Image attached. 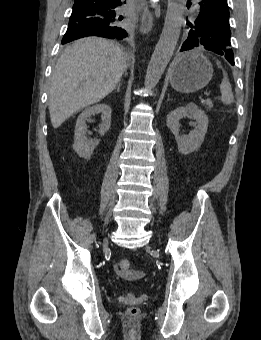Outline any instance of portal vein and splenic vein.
I'll use <instances>...</instances> for the list:
<instances>
[{
	"mask_svg": "<svg viewBox=\"0 0 261 340\" xmlns=\"http://www.w3.org/2000/svg\"><path fill=\"white\" fill-rule=\"evenodd\" d=\"M205 96H206V97L210 96V93L206 92V93H205Z\"/></svg>",
	"mask_w": 261,
	"mask_h": 340,
	"instance_id": "obj_1",
	"label": "portal vein and splenic vein"
}]
</instances>
